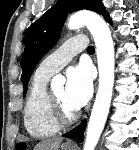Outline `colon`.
I'll list each match as a JSON object with an SVG mask.
<instances>
[{
    "label": "colon",
    "instance_id": "1",
    "mask_svg": "<svg viewBox=\"0 0 139 150\" xmlns=\"http://www.w3.org/2000/svg\"><path fill=\"white\" fill-rule=\"evenodd\" d=\"M16 150H27L25 147L19 146L16 148Z\"/></svg>",
    "mask_w": 139,
    "mask_h": 150
}]
</instances>
